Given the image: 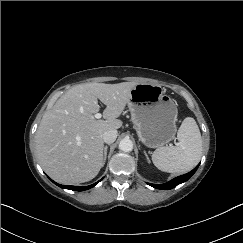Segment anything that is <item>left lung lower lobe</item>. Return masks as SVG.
Returning a JSON list of instances; mask_svg holds the SVG:
<instances>
[{"mask_svg":"<svg viewBox=\"0 0 243 243\" xmlns=\"http://www.w3.org/2000/svg\"><path fill=\"white\" fill-rule=\"evenodd\" d=\"M199 165H197L192 171H190L189 173L187 174H184V175H181V176H178L176 178H174L173 180L165 183V184H161V185H156V184H150L148 183L150 186L154 187V188H157V189H162V190H165V189H172L174 187H176L177 185L187 181L197 170Z\"/></svg>","mask_w":243,"mask_h":243,"instance_id":"1","label":"left lung lower lobe"}]
</instances>
